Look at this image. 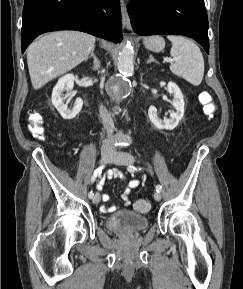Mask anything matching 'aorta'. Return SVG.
<instances>
[{
  "label": "aorta",
  "instance_id": "aorta-1",
  "mask_svg": "<svg viewBox=\"0 0 243 289\" xmlns=\"http://www.w3.org/2000/svg\"><path fill=\"white\" fill-rule=\"evenodd\" d=\"M134 49L131 42L127 41L118 57L117 68L120 78L112 84L111 90L114 95L120 97L123 90L125 80L131 76L134 71Z\"/></svg>",
  "mask_w": 243,
  "mask_h": 289
}]
</instances>
